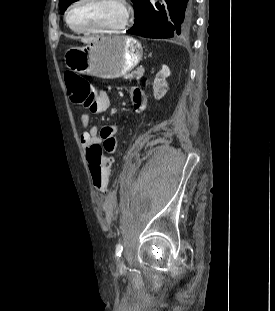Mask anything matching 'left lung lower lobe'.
I'll return each instance as SVG.
<instances>
[{"label":"left lung lower lobe","instance_id":"0a47b994","mask_svg":"<svg viewBox=\"0 0 275 311\" xmlns=\"http://www.w3.org/2000/svg\"><path fill=\"white\" fill-rule=\"evenodd\" d=\"M193 0H145L127 32L147 38H180L192 27Z\"/></svg>","mask_w":275,"mask_h":311}]
</instances>
